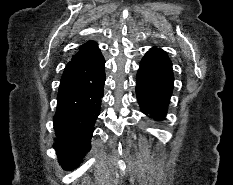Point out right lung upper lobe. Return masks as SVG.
<instances>
[{
    "label": "right lung upper lobe",
    "mask_w": 233,
    "mask_h": 185,
    "mask_svg": "<svg viewBox=\"0 0 233 185\" xmlns=\"http://www.w3.org/2000/svg\"><path fill=\"white\" fill-rule=\"evenodd\" d=\"M101 58H103V56L97 46V43L90 41L84 44L80 48L79 52L72 57V60L73 61H76V60L96 61Z\"/></svg>",
    "instance_id": "cb5924a9"
}]
</instances>
